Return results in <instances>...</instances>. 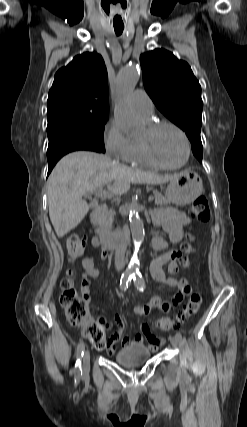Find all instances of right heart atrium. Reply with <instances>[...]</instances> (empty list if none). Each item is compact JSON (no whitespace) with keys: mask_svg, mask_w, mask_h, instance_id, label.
<instances>
[{"mask_svg":"<svg viewBox=\"0 0 247 427\" xmlns=\"http://www.w3.org/2000/svg\"><path fill=\"white\" fill-rule=\"evenodd\" d=\"M102 141L110 156L118 160H129L131 141L114 121L109 120L105 124L102 132Z\"/></svg>","mask_w":247,"mask_h":427,"instance_id":"1","label":"right heart atrium"}]
</instances>
